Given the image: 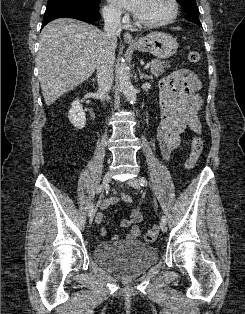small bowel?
I'll use <instances>...</instances> for the list:
<instances>
[{
  "instance_id": "1",
  "label": "small bowel",
  "mask_w": 245,
  "mask_h": 314,
  "mask_svg": "<svg viewBox=\"0 0 245 314\" xmlns=\"http://www.w3.org/2000/svg\"><path fill=\"white\" fill-rule=\"evenodd\" d=\"M201 81L199 77L189 69H179L161 82L160 87V111L161 119L157 128V140L160 145L161 153L165 160L169 161L173 152L181 145V134L187 129L195 133H201V122L199 117L201 98L199 91ZM122 199L130 204L133 200L130 196L123 194ZM108 206V202L102 208ZM142 201L137 207L130 211V216L121 221V226L128 228L125 235L128 241L137 240L141 235L138 223L142 220ZM101 213L97 218L100 219ZM104 228L101 234L105 235ZM114 241L119 240L118 236L113 237Z\"/></svg>"
}]
</instances>
